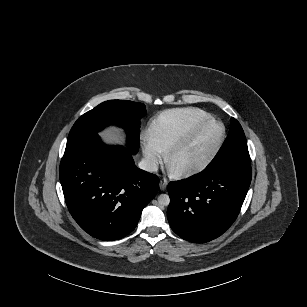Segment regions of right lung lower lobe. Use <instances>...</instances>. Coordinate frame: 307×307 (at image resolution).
Segmentation results:
<instances>
[{"label": "right lung lower lobe", "instance_id": "1", "mask_svg": "<svg viewBox=\"0 0 307 307\" xmlns=\"http://www.w3.org/2000/svg\"><path fill=\"white\" fill-rule=\"evenodd\" d=\"M132 154L103 144L97 133L66 145L60 163L65 202L79 226L97 239L128 235L157 194L159 178L137 168Z\"/></svg>", "mask_w": 307, "mask_h": 307}]
</instances>
